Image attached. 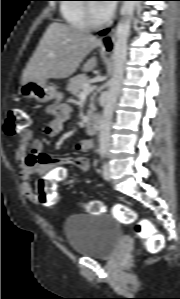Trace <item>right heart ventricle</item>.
I'll return each instance as SVG.
<instances>
[{"mask_svg":"<svg viewBox=\"0 0 180 299\" xmlns=\"http://www.w3.org/2000/svg\"><path fill=\"white\" fill-rule=\"evenodd\" d=\"M67 2H77L81 0H65ZM61 13L67 24L77 29H87L89 27L86 19L84 4L64 3L61 6Z\"/></svg>","mask_w":180,"mask_h":299,"instance_id":"right-heart-ventricle-1","label":"right heart ventricle"}]
</instances>
